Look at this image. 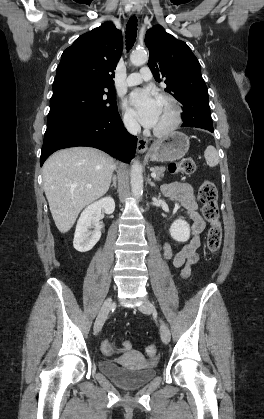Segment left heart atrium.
I'll use <instances>...</instances> for the list:
<instances>
[{
    "label": "left heart atrium",
    "mask_w": 264,
    "mask_h": 419,
    "mask_svg": "<svg viewBox=\"0 0 264 419\" xmlns=\"http://www.w3.org/2000/svg\"><path fill=\"white\" fill-rule=\"evenodd\" d=\"M129 103L137 119L146 127H154L159 114V99L148 89L130 94Z\"/></svg>",
    "instance_id": "39dd6f15"
}]
</instances>
